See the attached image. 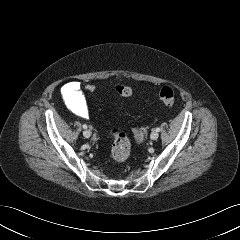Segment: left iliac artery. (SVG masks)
<instances>
[{
	"mask_svg": "<svg viewBox=\"0 0 240 240\" xmlns=\"http://www.w3.org/2000/svg\"><path fill=\"white\" fill-rule=\"evenodd\" d=\"M161 129L159 127L156 128V131L159 132Z\"/></svg>",
	"mask_w": 240,
	"mask_h": 240,
	"instance_id": "44dca946",
	"label": "left iliac artery"
}]
</instances>
